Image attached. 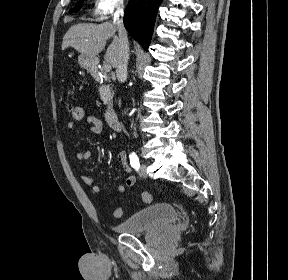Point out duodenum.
Instances as JSON below:
<instances>
[{
	"mask_svg": "<svg viewBox=\"0 0 288 280\" xmlns=\"http://www.w3.org/2000/svg\"><path fill=\"white\" fill-rule=\"evenodd\" d=\"M90 71L95 78L100 79V72L95 65H92L90 67ZM105 119H106V122L111 129H113L115 131L121 130V123L119 121V118H118L117 114L115 113V111L111 107H109L106 110Z\"/></svg>",
	"mask_w": 288,
	"mask_h": 280,
	"instance_id": "410a0bca",
	"label": "duodenum"
}]
</instances>
